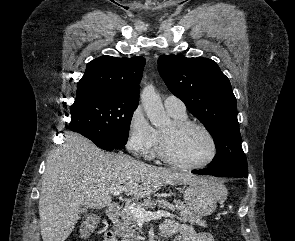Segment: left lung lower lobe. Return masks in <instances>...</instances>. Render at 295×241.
Listing matches in <instances>:
<instances>
[{
    "label": "left lung lower lobe",
    "instance_id": "obj_1",
    "mask_svg": "<svg viewBox=\"0 0 295 241\" xmlns=\"http://www.w3.org/2000/svg\"><path fill=\"white\" fill-rule=\"evenodd\" d=\"M192 173L199 174V175H213L218 177H241L237 174H228L219 170L205 168L200 170H193Z\"/></svg>",
    "mask_w": 295,
    "mask_h": 241
}]
</instances>
